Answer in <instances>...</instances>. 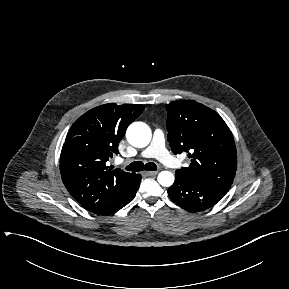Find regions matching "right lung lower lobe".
<instances>
[{
  "mask_svg": "<svg viewBox=\"0 0 289 289\" xmlns=\"http://www.w3.org/2000/svg\"><path fill=\"white\" fill-rule=\"evenodd\" d=\"M141 178L142 177H141L140 174H136V176H135V185H134L132 191L124 199H121L119 202H117L115 204V206H113L112 208L107 210L102 215H111V214L117 212L118 210H120L125 205H127L135 197V194H136V192H137V190H138V188L140 186Z\"/></svg>",
  "mask_w": 289,
  "mask_h": 289,
  "instance_id": "obj_1",
  "label": "right lung lower lobe"
}]
</instances>
